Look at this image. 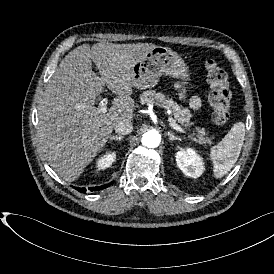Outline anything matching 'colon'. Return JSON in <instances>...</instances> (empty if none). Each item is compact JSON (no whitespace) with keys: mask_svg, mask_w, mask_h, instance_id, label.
Here are the masks:
<instances>
[{"mask_svg":"<svg viewBox=\"0 0 274 274\" xmlns=\"http://www.w3.org/2000/svg\"><path fill=\"white\" fill-rule=\"evenodd\" d=\"M206 78L211 87L208 95L212 119L217 125L225 124L230 116L232 92L226 71L214 59L204 62Z\"/></svg>","mask_w":274,"mask_h":274,"instance_id":"5ec220e1","label":"colon"}]
</instances>
